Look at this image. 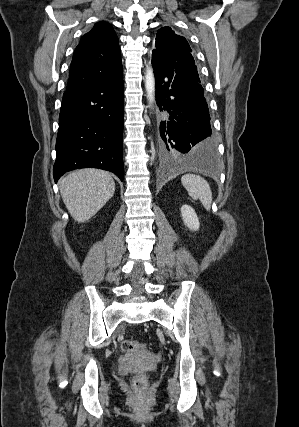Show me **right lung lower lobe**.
Returning <instances> with one entry per match:
<instances>
[{
    "instance_id": "98d812e1",
    "label": "right lung lower lobe",
    "mask_w": 299,
    "mask_h": 427,
    "mask_svg": "<svg viewBox=\"0 0 299 427\" xmlns=\"http://www.w3.org/2000/svg\"><path fill=\"white\" fill-rule=\"evenodd\" d=\"M124 95L122 70L104 81L66 90L56 140L55 182L67 171L94 167L122 181Z\"/></svg>"
}]
</instances>
